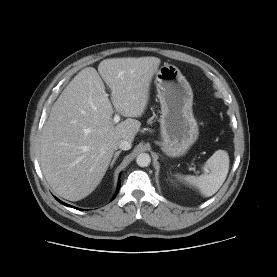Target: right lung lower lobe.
<instances>
[{
  "instance_id": "right-lung-lower-lobe-1",
  "label": "right lung lower lobe",
  "mask_w": 277,
  "mask_h": 277,
  "mask_svg": "<svg viewBox=\"0 0 277 277\" xmlns=\"http://www.w3.org/2000/svg\"><path fill=\"white\" fill-rule=\"evenodd\" d=\"M119 188H120V183H119V185H118V190H117V193H118V191H119ZM117 195V194H116ZM115 195V196H116ZM56 200L58 201V202H60V203H62V204H64L65 206H69V207H72V206H70V205H68V204H66V203H63V202H61L59 199H57L56 198ZM73 208H75V207H73Z\"/></svg>"
}]
</instances>
